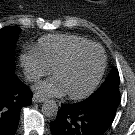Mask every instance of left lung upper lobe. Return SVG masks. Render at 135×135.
<instances>
[{
  "instance_id": "left-lung-upper-lobe-1",
  "label": "left lung upper lobe",
  "mask_w": 135,
  "mask_h": 135,
  "mask_svg": "<svg viewBox=\"0 0 135 135\" xmlns=\"http://www.w3.org/2000/svg\"><path fill=\"white\" fill-rule=\"evenodd\" d=\"M110 90L119 91V73L117 69H113L103 85L94 93H107Z\"/></svg>"
}]
</instances>
